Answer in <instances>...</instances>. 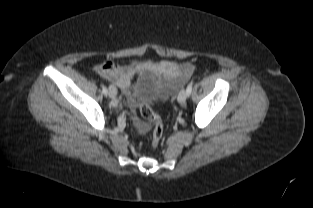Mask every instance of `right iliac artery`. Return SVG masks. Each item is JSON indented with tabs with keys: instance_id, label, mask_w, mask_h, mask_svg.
Here are the masks:
<instances>
[{
	"instance_id": "right-iliac-artery-1",
	"label": "right iliac artery",
	"mask_w": 313,
	"mask_h": 208,
	"mask_svg": "<svg viewBox=\"0 0 313 208\" xmlns=\"http://www.w3.org/2000/svg\"><path fill=\"white\" fill-rule=\"evenodd\" d=\"M102 92H103L105 95H107L108 90H107V88H106L105 86L102 87Z\"/></svg>"
}]
</instances>
